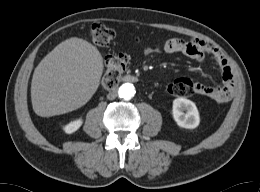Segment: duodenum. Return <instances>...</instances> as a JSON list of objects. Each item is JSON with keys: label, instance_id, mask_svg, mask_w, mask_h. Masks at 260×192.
Instances as JSON below:
<instances>
[{"label": "duodenum", "instance_id": "1", "mask_svg": "<svg viewBox=\"0 0 260 192\" xmlns=\"http://www.w3.org/2000/svg\"><path fill=\"white\" fill-rule=\"evenodd\" d=\"M121 81L128 83H135L138 81V78L132 74H125L122 76Z\"/></svg>", "mask_w": 260, "mask_h": 192}]
</instances>
